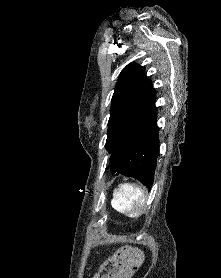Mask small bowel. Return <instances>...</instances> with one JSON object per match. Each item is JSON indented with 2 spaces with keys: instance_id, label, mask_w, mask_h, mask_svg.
Wrapping results in <instances>:
<instances>
[{
  "instance_id": "c3829d8e",
  "label": "small bowel",
  "mask_w": 221,
  "mask_h": 278,
  "mask_svg": "<svg viewBox=\"0 0 221 278\" xmlns=\"http://www.w3.org/2000/svg\"><path fill=\"white\" fill-rule=\"evenodd\" d=\"M142 255L136 249L123 247L113 253L99 268L93 278H122L130 273L131 266L140 261Z\"/></svg>"
}]
</instances>
